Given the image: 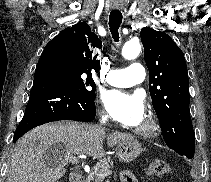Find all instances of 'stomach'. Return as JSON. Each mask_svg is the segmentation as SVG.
<instances>
[{
    "label": "stomach",
    "instance_id": "0dacf381",
    "mask_svg": "<svg viewBox=\"0 0 211 182\" xmlns=\"http://www.w3.org/2000/svg\"><path fill=\"white\" fill-rule=\"evenodd\" d=\"M141 151V144L131 137L118 143L116 155L120 162L129 163L136 159Z\"/></svg>",
    "mask_w": 211,
    "mask_h": 182
}]
</instances>
